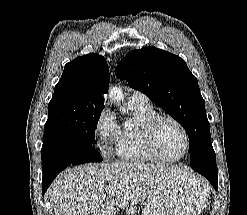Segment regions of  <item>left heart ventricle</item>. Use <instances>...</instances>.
<instances>
[{"instance_id": "1", "label": "left heart ventricle", "mask_w": 247, "mask_h": 215, "mask_svg": "<svg viewBox=\"0 0 247 215\" xmlns=\"http://www.w3.org/2000/svg\"><path fill=\"white\" fill-rule=\"evenodd\" d=\"M156 139L159 151L167 157H178L184 151V135L180 128L170 121L159 125Z\"/></svg>"}]
</instances>
